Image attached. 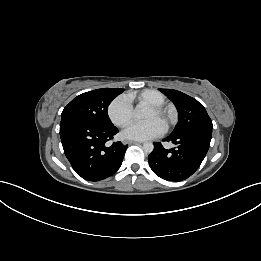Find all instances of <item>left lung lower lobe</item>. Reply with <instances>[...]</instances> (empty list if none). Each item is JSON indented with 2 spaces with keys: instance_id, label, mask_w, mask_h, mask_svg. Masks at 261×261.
<instances>
[{
  "instance_id": "obj_1",
  "label": "left lung lower lobe",
  "mask_w": 261,
  "mask_h": 261,
  "mask_svg": "<svg viewBox=\"0 0 261 261\" xmlns=\"http://www.w3.org/2000/svg\"><path fill=\"white\" fill-rule=\"evenodd\" d=\"M212 129L200 128L170 134L163 141L176 147L165 149L154 142V150L148 156L152 171L168 181H182L190 177L201 165L210 146Z\"/></svg>"
}]
</instances>
